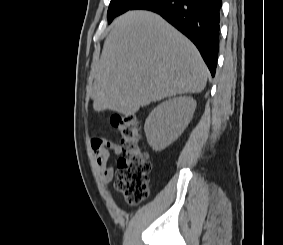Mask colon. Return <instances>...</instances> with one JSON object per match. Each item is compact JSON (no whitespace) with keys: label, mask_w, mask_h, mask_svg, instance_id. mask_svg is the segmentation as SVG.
Returning a JSON list of instances; mask_svg holds the SVG:
<instances>
[{"label":"colon","mask_w":283,"mask_h":245,"mask_svg":"<svg viewBox=\"0 0 283 245\" xmlns=\"http://www.w3.org/2000/svg\"><path fill=\"white\" fill-rule=\"evenodd\" d=\"M111 124L119 134L122 147L114 186L128 204L137 205L149 195L151 171L148 154L140 145V124L133 115L119 114L111 117Z\"/></svg>","instance_id":"1"}]
</instances>
